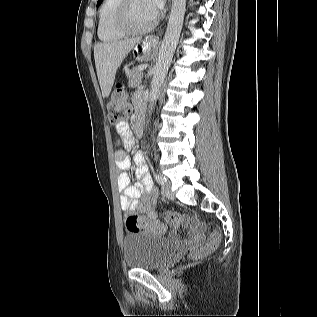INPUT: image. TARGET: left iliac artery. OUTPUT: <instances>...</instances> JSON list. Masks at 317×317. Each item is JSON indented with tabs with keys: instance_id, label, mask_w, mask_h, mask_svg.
<instances>
[{
	"instance_id": "44dca946",
	"label": "left iliac artery",
	"mask_w": 317,
	"mask_h": 317,
	"mask_svg": "<svg viewBox=\"0 0 317 317\" xmlns=\"http://www.w3.org/2000/svg\"><path fill=\"white\" fill-rule=\"evenodd\" d=\"M155 180L157 181V183L159 184H163L165 182V178L162 177L161 175H159L158 173L154 174Z\"/></svg>"
}]
</instances>
